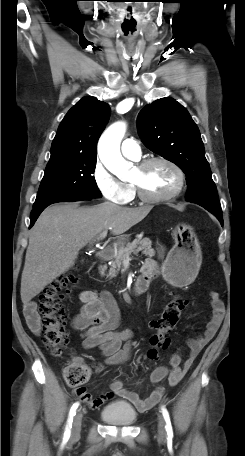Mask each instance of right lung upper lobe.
Masks as SVG:
<instances>
[{"label":"right lung upper lobe","mask_w":245,"mask_h":456,"mask_svg":"<svg viewBox=\"0 0 245 456\" xmlns=\"http://www.w3.org/2000/svg\"><path fill=\"white\" fill-rule=\"evenodd\" d=\"M110 116V107L92 96L83 97L65 115L52 142L49 163L97 156V141Z\"/></svg>","instance_id":"cb5924a9"}]
</instances>
